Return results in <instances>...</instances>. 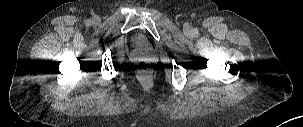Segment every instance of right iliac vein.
I'll return each instance as SVG.
<instances>
[{"label":"right iliac vein","instance_id":"1","mask_svg":"<svg viewBox=\"0 0 303 127\" xmlns=\"http://www.w3.org/2000/svg\"><path fill=\"white\" fill-rule=\"evenodd\" d=\"M93 23L94 24H99L100 23V18L99 17H94L93 18Z\"/></svg>","mask_w":303,"mask_h":127}]
</instances>
